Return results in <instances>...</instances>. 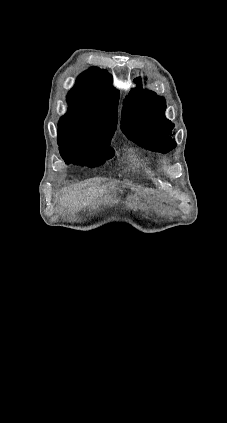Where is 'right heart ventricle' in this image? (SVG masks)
<instances>
[{
  "mask_svg": "<svg viewBox=\"0 0 227 423\" xmlns=\"http://www.w3.org/2000/svg\"><path fill=\"white\" fill-rule=\"evenodd\" d=\"M132 161L134 168H136L140 164V161L138 159H133Z\"/></svg>",
  "mask_w": 227,
  "mask_h": 423,
  "instance_id": "e07e8e85",
  "label": "right heart ventricle"
}]
</instances>
